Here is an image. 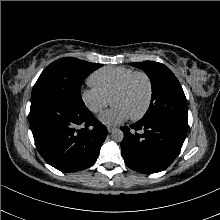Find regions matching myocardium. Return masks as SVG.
Returning <instances> with one entry per match:
<instances>
[{
	"mask_svg": "<svg viewBox=\"0 0 220 220\" xmlns=\"http://www.w3.org/2000/svg\"><path fill=\"white\" fill-rule=\"evenodd\" d=\"M138 76H141L145 79L147 83V87H148V94H147V100H146L144 107L139 113L131 116L132 120L141 119L143 116H145V114L148 112L151 106L152 98H153V83H152L150 76L144 71H134L132 74H130L127 78L124 79V81L114 90V92L112 93L110 97L112 100L114 96L124 92L128 88V86L131 84L133 79Z\"/></svg>",
	"mask_w": 220,
	"mask_h": 220,
	"instance_id": "f54148a6",
	"label": "myocardium"
}]
</instances>
